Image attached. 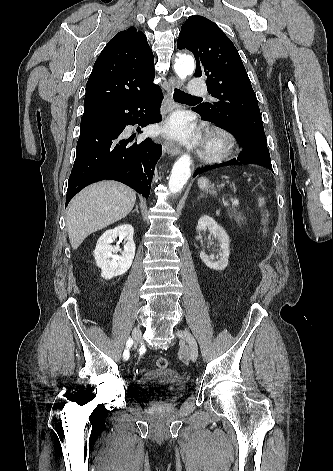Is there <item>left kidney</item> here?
I'll return each mask as SVG.
<instances>
[{
  "label": "left kidney",
  "mask_w": 333,
  "mask_h": 471,
  "mask_svg": "<svg viewBox=\"0 0 333 471\" xmlns=\"http://www.w3.org/2000/svg\"><path fill=\"white\" fill-rule=\"evenodd\" d=\"M197 232H201L203 230H208L211 232L220 243V253L219 259L214 261L213 256H208L205 254L204 251L200 252V258L205 263V265L213 270H223L228 265V257H229V236L226 231L217 224V222L211 218L210 216L204 215L202 216L196 228Z\"/></svg>",
  "instance_id": "left-kidney-1"
}]
</instances>
